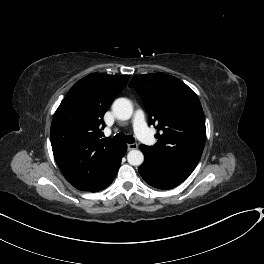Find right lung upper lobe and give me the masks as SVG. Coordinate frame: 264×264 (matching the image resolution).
Instances as JSON below:
<instances>
[{
  "instance_id": "cb5924a9",
  "label": "right lung upper lobe",
  "mask_w": 264,
  "mask_h": 264,
  "mask_svg": "<svg viewBox=\"0 0 264 264\" xmlns=\"http://www.w3.org/2000/svg\"><path fill=\"white\" fill-rule=\"evenodd\" d=\"M128 75L92 73L77 81L57 108L50 130L56 163L79 190L102 182L116 166L121 142L102 139L103 115Z\"/></svg>"
}]
</instances>
